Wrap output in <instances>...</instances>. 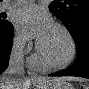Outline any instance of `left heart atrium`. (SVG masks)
<instances>
[{
    "instance_id": "left-heart-atrium-1",
    "label": "left heart atrium",
    "mask_w": 89,
    "mask_h": 89,
    "mask_svg": "<svg viewBox=\"0 0 89 89\" xmlns=\"http://www.w3.org/2000/svg\"><path fill=\"white\" fill-rule=\"evenodd\" d=\"M17 29L26 37L43 41L54 26L50 15L37 6H27L18 11L15 18Z\"/></svg>"
}]
</instances>
